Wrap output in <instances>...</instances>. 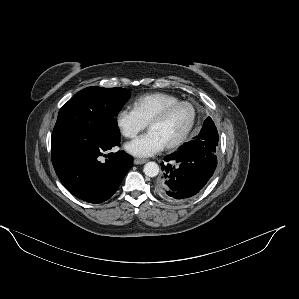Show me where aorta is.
I'll return each instance as SVG.
<instances>
[{"label": "aorta", "instance_id": "aorta-1", "mask_svg": "<svg viewBox=\"0 0 299 299\" xmlns=\"http://www.w3.org/2000/svg\"><path fill=\"white\" fill-rule=\"evenodd\" d=\"M144 173L148 177H155L159 174V166L155 162H148L144 165Z\"/></svg>", "mask_w": 299, "mask_h": 299}]
</instances>
